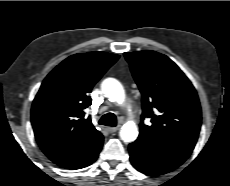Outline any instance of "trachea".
Here are the masks:
<instances>
[{"mask_svg":"<svg viewBox=\"0 0 230 186\" xmlns=\"http://www.w3.org/2000/svg\"><path fill=\"white\" fill-rule=\"evenodd\" d=\"M98 123L100 125L115 127L117 125V119L113 113H107L101 117Z\"/></svg>","mask_w":230,"mask_h":186,"instance_id":"obj_1","label":"trachea"}]
</instances>
